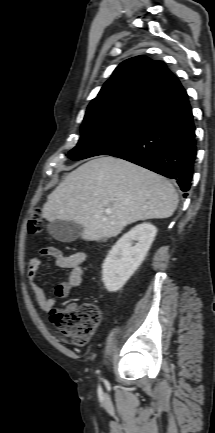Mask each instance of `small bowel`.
<instances>
[{"label":"small bowel","mask_w":215,"mask_h":433,"mask_svg":"<svg viewBox=\"0 0 215 433\" xmlns=\"http://www.w3.org/2000/svg\"><path fill=\"white\" fill-rule=\"evenodd\" d=\"M41 253L50 258L54 266L67 271L65 280L55 287L54 292L59 298L69 297L71 291L80 286L82 282L83 264L87 258L86 252L77 251L64 255L53 246H45L41 249ZM39 269L40 260L37 257H31L27 266L29 284L39 307L44 311H49L54 307V299L48 296L39 284L37 279Z\"/></svg>","instance_id":"c3829d8e"}]
</instances>
